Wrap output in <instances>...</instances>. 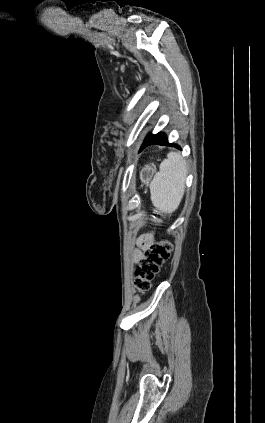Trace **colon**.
<instances>
[{"mask_svg": "<svg viewBox=\"0 0 265 423\" xmlns=\"http://www.w3.org/2000/svg\"><path fill=\"white\" fill-rule=\"evenodd\" d=\"M155 219L161 221V217L155 214ZM173 252L172 244L167 240H160L145 249L143 256L135 269L134 285L139 292H146L151 287V282Z\"/></svg>", "mask_w": 265, "mask_h": 423, "instance_id": "5ec220e1", "label": "colon"}]
</instances>
